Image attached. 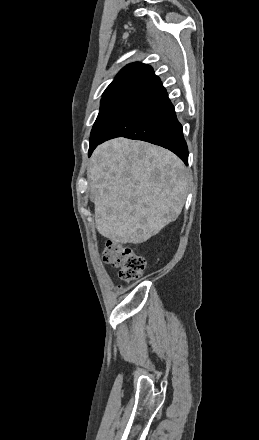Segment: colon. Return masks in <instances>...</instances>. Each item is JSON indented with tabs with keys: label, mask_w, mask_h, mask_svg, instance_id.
Returning <instances> with one entry per match:
<instances>
[{
	"label": "colon",
	"mask_w": 259,
	"mask_h": 440,
	"mask_svg": "<svg viewBox=\"0 0 259 440\" xmlns=\"http://www.w3.org/2000/svg\"><path fill=\"white\" fill-rule=\"evenodd\" d=\"M103 260L119 268V278L125 283L140 278L146 268L144 257L137 254L131 246L112 240L104 248Z\"/></svg>",
	"instance_id": "obj_1"
}]
</instances>
